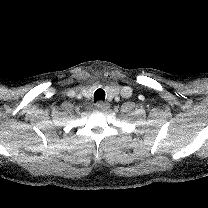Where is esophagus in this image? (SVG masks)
<instances>
[{
    "mask_svg": "<svg viewBox=\"0 0 208 208\" xmlns=\"http://www.w3.org/2000/svg\"><path fill=\"white\" fill-rule=\"evenodd\" d=\"M96 109L97 110H106L110 107V104L107 102H103V101H98L96 104Z\"/></svg>",
    "mask_w": 208,
    "mask_h": 208,
    "instance_id": "esophagus-1",
    "label": "esophagus"
}]
</instances>
